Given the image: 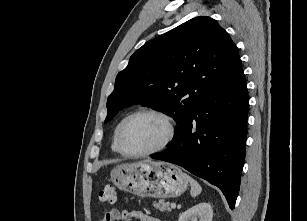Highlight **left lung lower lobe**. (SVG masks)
Returning a JSON list of instances; mask_svg holds the SVG:
<instances>
[{"label": "left lung lower lobe", "instance_id": "obj_1", "mask_svg": "<svg viewBox=\"0 0 307 221\" xmlns=\"http://www.w3.org/2000/svg\"><path fill=\"white\" fill-rule=\"evenodd\" d=\"M247 116L239 58L224 81L195 106L169 147L152 158L179 165L217 186L233 208L245 158Z\"/></svg>", "mask_w": 307, "mask_h": 221}]
</instances>
